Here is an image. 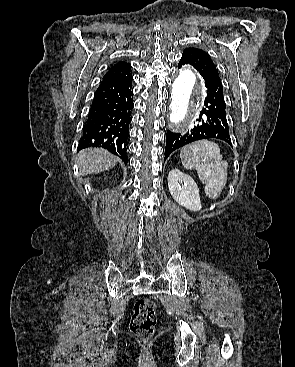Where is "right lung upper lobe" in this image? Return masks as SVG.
Returning <instances> with one entry per match:
<instances>
[{
    "label": "right lung upper lobe",
    "instance_id": "1",
    "mask_svg": "<svg viewBox=\"0 0 295 367\" xmlns=\"http://www.w3.org/2000/svg\"><path fill=\"white\" fill-rule=\"evenodd\" d=\"M130 79H132L130 65L126 62L119 61L108 70L103 81L122 82Z\"/></svg>",
    "mask_w": 295,
    "mask_h": 367
}]
</instances>
